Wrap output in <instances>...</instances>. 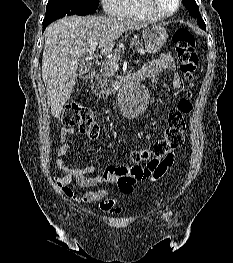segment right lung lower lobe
<instances>
[{
  "instance_id": "right-lung-lower-lobe-1",
  "label": "right lung lower lobe",
  "mask_w": 233,
  "mask_h": 263,
  "mask_svg": "<svg viewBox=\"0 0 233 263\" xmlns=\"http://www.w3.org/2000/svg\"><path fill=\"white\" fill-rule=\"evenodd\" d=\"M49 23H51V22L44 21L43 30H45V28L49 25Z\"/></svg>"
}]
</instances>
